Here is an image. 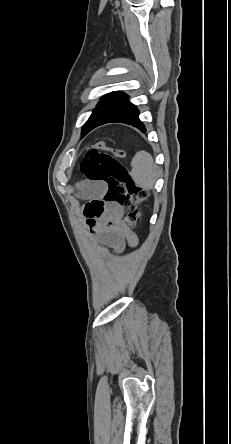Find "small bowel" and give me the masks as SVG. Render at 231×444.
I'll list each match as a JSON object with an SVG mask.
<instances>
[{"label":"small bowel","mask_w":231,"mask_h":444,"mask_svg":"<svg viewBox=\"0 0 231 444\" xmlns=\"http://www.w3.org/2000/svg\"><path fill=\"white\" fill-rule=\"evenodd\" d=\"M104 191L105 185L102 182L83 181L77 188L78 195L88 200V204L102 203V212L97 219L96 230L101 234L103 240L117 251L124 249L126 243L135 246L137 238L122 220L123 208L115 202L104 201Z\"/></svg>","instance_id":"small-bowel-1"}]
</instances>
